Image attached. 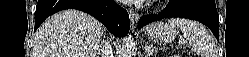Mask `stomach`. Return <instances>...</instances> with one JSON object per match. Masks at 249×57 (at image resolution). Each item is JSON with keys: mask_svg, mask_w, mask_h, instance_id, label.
<instances>
[{"mask_svg": "<svg viewBox=\"0 0 249 57\" xmlns=\"http://www.w3.org/2000/svg\"><path fill=\"white\" fill-rule=\"evenodd\" d=\"M178 34L173 24L156 22L147 27L146 36L155 42H171Z\"/></svg>", "mask_w": 249, "mask_h": 57, "instance_id": "1", "label": "stomach"}]
</instances>
